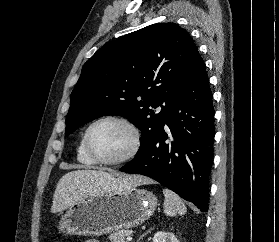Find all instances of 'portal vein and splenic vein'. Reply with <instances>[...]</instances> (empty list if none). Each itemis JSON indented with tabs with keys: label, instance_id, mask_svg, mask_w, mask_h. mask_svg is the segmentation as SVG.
<instances>
[{
	"label": "portal vein and splenic vein",
	"instance_id": "1",
	"mask_svg": "<svg viewBox=\"0 0 279 242\" xmlns=\"http://www.w3.org/2000/svg\"><path fill=\"white\" fill-rule=\"evenodd\" d=\"M131 240H132L131 236L127 237V241H131Z\"/></svg>",
	"mask_w": 279,
	"mask_h": 242
}]
</instances>
